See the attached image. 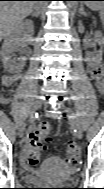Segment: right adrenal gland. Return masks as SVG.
<instances>
[{"label": "right adrenal gland", "mask_w": 104, "mask_h": 189, "mask_svg": "<svg viewBox=\"0 0 104 189\" xmlns=\"http://www.w3.org/2000/svg\"><path fill=\"white\" fill-rule=\"evenodd\" d=\"M31 16L37 18L39 16V14H37L36 12H31Z\"/></svg>", "instance_id": "1"}]
</instances>
